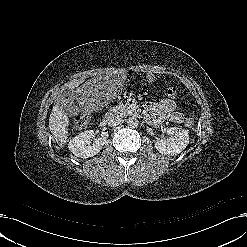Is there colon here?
<instances>
[{"label": "colon", "instance_id": "5ec220e1", "mask_svg": "<svg viewBox=\"0 0 247 247\" xmlns=\"http://www.w3.org/2000/svg\"><path fill=\"white\" fill-rule=\"evenodd\" d=\"M177 93H178L177 88L173 86L168 87L165 91L166 96L169 98L176 97ZM183 118L187 126H192L194 124V118L190 116L188 113H183ZM90 119H91L90 114L83 113L75 119L73 127L75 129L82 128L88 124Z\"/></svg>", "mask_w": 247, "mask_h": 247}]
</instances>
